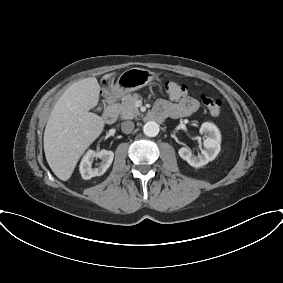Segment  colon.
Returning <instances> with one entry per match:
<instances>
[{
	"label": "colon",
	"mask_w": 283,
	"mask_h": 283,
	"mask_svg": "<svg viewBox=\"0 0 283 283\" xmlns=\"http://www.w3.org/2000/svg\"><path fill=\"white\" fill-rule=\"evenodd\" d=\"M166 92L173 99H178L184 96L187 89L184 85L175 81H168L165 85ZM202 103L204 107L212 114L218 115L222 109V101L214 95H203Z\"/></svg>",
	"instance_id": "1"
}]
</instances>
